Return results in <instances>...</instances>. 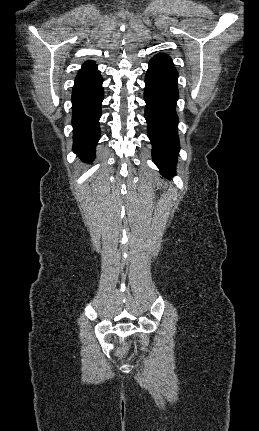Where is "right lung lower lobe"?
Wrapping results in <instances>:
<instances>
[{
  "label": "right lung lower lobe",
  "mask_w": 259,
  "mask_h": 431,
  "mask_svg": "<svg viewBox=\"0 0 259 431\" xmlns=\"http://www.w3.org/2000/svg\"><path fill=\"white\" fill-rule=\"evenodd\" d=\"M103 79L97 65L79 70L72 91L73 151L85 162H92L100 138L99 119L104 98Z\"/></svg>",
  "instance_id": "right-lung-lower-lobe-1"
}]
</instances>
